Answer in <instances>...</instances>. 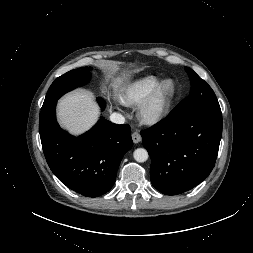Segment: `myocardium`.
<instances>
[{"label":"myocardium","instance_id":"obj_1","mask_svg":"<svg viewBox=\"0 0 253 253\" xmlns=\"http://www.w3.org/2000/svg\"><path fill=\"white\" fill-rule=\"evenodd\" d=\"M167 87L168 90H167ZM176 96V84L170 79L159 82L139 107V118L146 125L160 122L169 112Z\"/></svg>","mask_w":253,"mask_h":253}]
</instances>
